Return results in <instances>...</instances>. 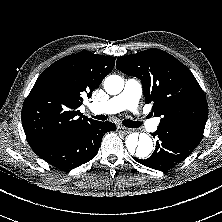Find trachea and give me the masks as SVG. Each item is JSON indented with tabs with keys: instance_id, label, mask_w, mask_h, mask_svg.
<instances>
[{
	"instance_id": "3493384b",
	"label": "trachea",
	"mask_w": 222,
	"mask_h": 222,
	"mask_svg": "<svg viewBox=\"0 0 222 222\" xmlns=\"http://www.w3.org/2000/svg\"><path fill=\"white\" fill-rule=\"evenodd\" d=\"M92 117L94 119L101 120V121L107 120V116H105V115H94ZM123 124H124V126H126L128 128H138L141 126L140 122L131 121V120H124Z\"/></svg>"
}]
</instances>
